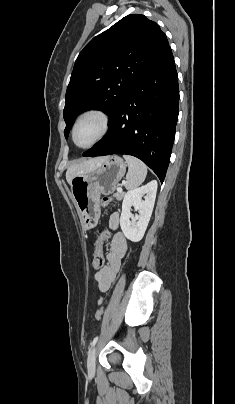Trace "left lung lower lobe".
Returning a JSON list of instances; mask_svg holds the SVG:
<instances>
[{
  "label": "left lung lower lobe",
  "instance_id": "0a47b994",
  "mask_svg": "<svg viewBox=\"0 0 235 404\" xmlns=\"http://www.w3.org/2000/svg\"><path fill=\"white\" fill-rule=\"evenodd\" d=\"M179 87L170 46L135 83L109 122V131L83 156L127 154L141 159L163 182L179 112Z\"/></svg>",
  "mask_w": 235,
  "mask_h": 404
}]
</instances>
